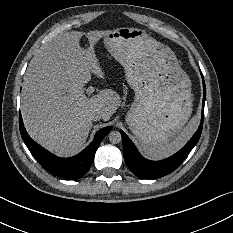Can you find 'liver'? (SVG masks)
Listing matches in <instances>:
<instances>
[{
    "instance_id": "1",
    "label": "liver",
    "mask_w": 233,
    "mask_h": 233,
    "mask_svg": "<svg viewBox=\"0 0 233 233\" xmlns=\"http://www.w3.org/2000/svg\"><path fill=\"white\" fill-rule=\"evenodd\" d=\"M110 30L65 32L43 46L32 58L24 76L21 113L31 137L60 156L77 153L92 127L89 118L99 112L110 120L122 101L112 89L87 97L85 86L92 74L105 79L94 46ZM85 35L89 48L80 46Z\"/></svg>"
}]
</instances>
